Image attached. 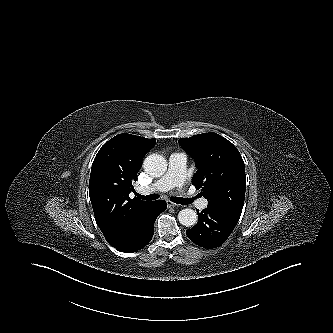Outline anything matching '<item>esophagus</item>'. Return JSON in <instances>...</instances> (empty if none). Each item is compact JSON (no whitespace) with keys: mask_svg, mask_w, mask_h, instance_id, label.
<instances>
[{"mask_svg":"<svg viewBox=\"0 0 333 333\" xmlns=\"http://www.w3.org/2000/svg\"><path fill=\"white\" fill-rule=\"evenodd\" d=\"M167 206H168L169 208H171V207H176V206H178V205L175 204V203H173V202H171V201H169V200H167Z\"/></svg>","mask_w":333,"mask_h":333,"instance_id":"1","label":"esophagus"}]
</instances>
